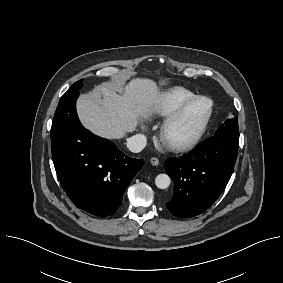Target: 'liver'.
Segmentation results:
<instances>
[{
	"instance_id": "liver-1",
	"label": "liver",
	"mask_w": 283,
	"mask_h": 283,
	"mask_svg": "<svg viewBox=\"0 0 283 283\" xmlns=\"http://www.w3.org/2000/svg\"><path fill=\"white\" fill-rule=\"evenodd\" d=\"M120 93L115 85L102 84L80 95L77 112L83 126L98 136L122 139L148 119L162 101L156 83L150 79H132Z\"/></svg>"
}]
</instances>
